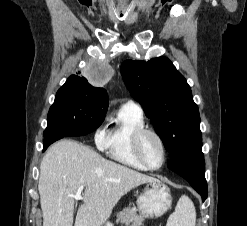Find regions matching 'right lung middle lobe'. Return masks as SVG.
I'll use <instances>...</instances> for the list:
<instances>
[{"mask_svg": "<svg viewBox=\"0 0 247 226\" xmlns=\"http://www.w3.org/2000/svg\"><path fill=\"white\" fill-rule=\"evenodd\" d=\"M106 112L107 105L101 99L63 85L50 107L44 136L61 139L65 136L86 135L102 124Z\"/></svg>", "mask_w": 247, "mask_h": 226, "instance_id": "right-lung-middle-lobe-1", "label": "right lung middle lobe"}]
</instances>
